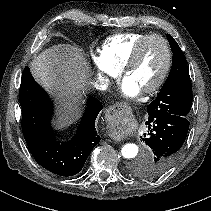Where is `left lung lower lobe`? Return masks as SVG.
I'll return each instance as SVG.
<instances>
[{
  "label": "left lung lower lobe",
  "mask_w": 211,
  "mask_h": 211,
  "mask_svg": "<svg viewBox=\"0 0 211 211\" xmlns=\"http://www.w3.org/2000/svg\"><path fill=\"white\" fill-rule=\"evenodd\" d=\"M148 133L143 142L150 147L151 159L142 165L147 177H156L177 160L186 139L189 121L170 113L151 116L146 122Z\"/></svg>",
  "instance_id": "obj_1"
}]
</instances>
